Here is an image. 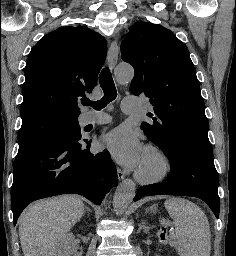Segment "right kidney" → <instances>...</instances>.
Masks as SVG:
<instances>
[{
    "instance_id": "obj_1",
    "label": "right kidney",
    "mask_w": 236,
    "mask_h": 256,
    "mask_svg": "<svg viewBox=\"0 0 236 256\" xmlns=\"http://www.w3.org/2000/svg\"><path fill=\"white\" fill-rule=\"evenodd\" d=\"M74 240L73 234H66V238L62 244V256H73V254H75L76 248Z\"/></svg>"
}]
</instances>
